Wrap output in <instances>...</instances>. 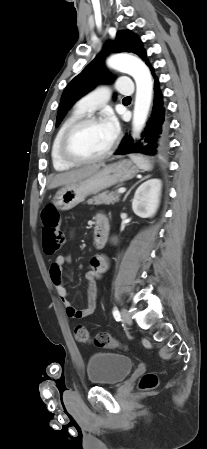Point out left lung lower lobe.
I'll return each instance as SVG.
<instances>
[{
	"label": "left lung lower lobe",
	"instance_id": "0a47b994",
	"mask_svg": "<svg viewBox=\"0 0 207 449\" xmlns=\"http://www.w3.org/2000/svg\"><path fill=\"white\" fill-rule=\"evenodd\" d=\"M148 67L154 78V100L151 117L141 133V139L138 142H134L131 137H124L116 152L117 155L128 153L156 155L165 151L168 134V118L158 77L155 75L153 66L148 64Z\"/></svg>",
	"mask_w": 207,
	"mask_h": 449
}]
</instances>
